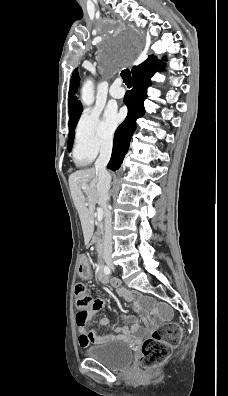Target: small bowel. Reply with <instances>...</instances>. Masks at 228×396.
<instances>
[{"label":"small bowel","instance_id":"small-bowel-1","mask_svg":"<svg viewBox=\"0 0 228 396\" xmlns=\"http://www.w3.org/2000/svg\"><path fill=\"white\" fill-rule=\"evenodd\" d=\"M79 271L81 275L85 277H88L91 273L90 264L85 257L81 259ZM108 282H110V284L115 288L117 296L122 297L124 300L131 304L133 310L138 313L140 318L144 321L145 328L141 326L138 319L128 316L126 317L129 324L128 326L117 327L115 329V335H102L100 334V328L109 324L108 318H102L98 322L93 324L90 329H86L85 327H79V344L83 348H86L90 344L102 343L113 339H123L131 335H140L152 329L159 319L166 318L169 315V311L165 306L157 305L150 298L126 290L121 285L119 280H109V278L107 277V281L103 283ZM104 306L105 301L103 298L95 299L93 306L89 312V316H94L97 312L103 309Z\"/></svg>","mask_w":228,"mask_h":396}]
</instances>
